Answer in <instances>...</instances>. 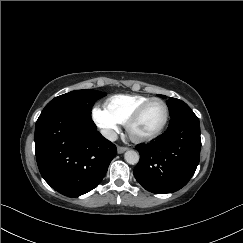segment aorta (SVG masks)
<instances>
[{"label": "aorta", "mask_w": 243, "mask_h": 243, "mask_svg": "<svg viewBox=\"0 0 243 243\" xmlns=\"http://www.w3.org/2000/svg\"><path fill=\"white\" fill-rule=\"evenodd\" d=\"M124 159L128 164H137L139 162V153L134 150H128L124 154Z\"/></svg>", "instance_id": "762f6f07"}]
</instances>
